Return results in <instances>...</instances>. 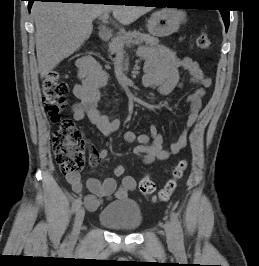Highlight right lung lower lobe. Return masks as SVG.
Instances as JSON below:
<instances>
[{"label": "right lung lower lobe", "instance_id": "right-lung-lower-lobe-1", "mask_svg": "<svg viewBox=\"0 0 259 266\" xmlns=\"http://www.w3.org/2000/svg\"><path fill=\"white\" fill-rule=\"evenodd\" d=\"M29 4H28V9L29 11L31 10V6L33 4L34 1H42V2H62V3H67V2H80V3H119V2H106L107 0H28Z\"/></svg>", "mask_w": 259, "mask_h": 266}]
</instances>
